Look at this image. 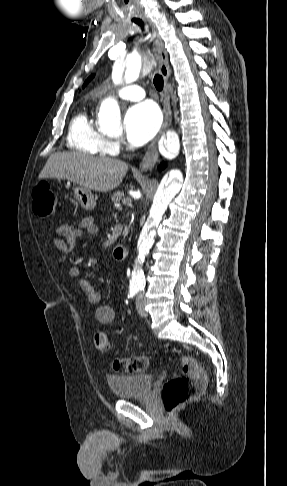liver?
I'll use <instances>...</instances> for the list:
<instances>
[{"label": "liver", "mask_w": 287, "mask_h": 486, "mask_svg": "<svg viewBox=\"0 0 287 486\" xmlns=\"http://www.w3.org/2000/svg\"><path fill=\"white\" fill-rule=\"evenodd\" d=\"M127 170L128 164L121 160L63 152L49 157L39 179H66L98 192H108L120 185Z\"/></svg>", "instance_id": "6515ba94"}]
</instances>
